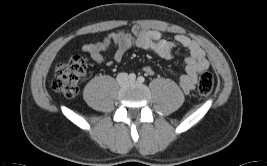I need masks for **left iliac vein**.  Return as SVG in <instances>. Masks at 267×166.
Returning <instances> with one entry per match:
<instances>
[{
    "label": "left iliac vein",
    "instance_id": "obj_1",
    "mask_svg": "<svg viewBox=\"0 0 267 166\" xmlns=\"http://www.w3.org/2000/svg\"><path fill=\"white\" fill-rule=\"evenodd\" d=\"M129 83L133 84L135 83V80H129Z\"/></svg>",
    "mask_w": 267,
    "mask_h": 166
}]
</instances>
